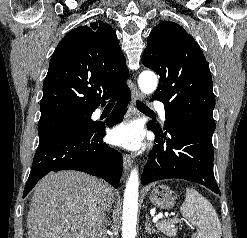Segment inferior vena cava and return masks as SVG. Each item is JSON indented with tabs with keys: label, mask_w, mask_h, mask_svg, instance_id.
Returning a JSON list of instances; mask_svg holds the SVG:
<instances>
[{
	"label": "inferior vena cava",
	"mask_w": 247,
	"mask_h": 238,
	"mask_svg": "<svg viewBox=\"0 0 247 238\" xmlns=\"http://www.w3.org/2000/svg\"><path fill=\"white\" fill-rule=\"evenodd\" d=\"M106 184L98 180L96 191L89 204V225L91 238H107L106 235Z\"/></svg>",
	"instance_id": "602c4592"
}]
</instances>
